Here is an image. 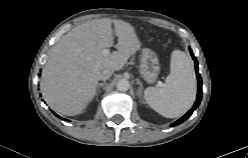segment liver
Instances as JSON below:
<instances>
[{
  "label": "liver",
  "instance_id": "6515ba94",
  "mask_svg": "<svg viewBox=\"0 0 248 158\" xmlns=\"http://www.w3.org/2000/svg\"><path fill=\"white\" fill-rule=\"evenodd\" d=\"M112 23L117 51L105 56L102 51L114 45ZM140 48L134 28L122 20L102 18L76 26L54 46L42 72L45 101L60 114H80L96 94L100 72L122 69Z\"/></svg>",
  "mask_w": 248,
  "mask_h": 158
}]
</instances>
